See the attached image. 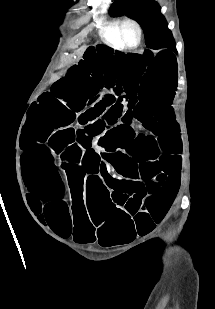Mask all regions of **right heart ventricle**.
Instances as JSON below:
<instances>
[{"mask_svg":"<svg viewBox=\"0 0 215 309\" xmlns=\"http://www.w3.org/2000/svg\"><path fill=\"white\" fill-rule=\"evenodd\" d=\"M119 19H113L108 23L101 24L99 33L101 40L111 48H123L119 34L117 32V24Z\"/></svg>","mask_w":215,"mask_h":309,"instance_id":"right-heart-ventricle-1","label":"right heart ventricle"}]
</instances>
